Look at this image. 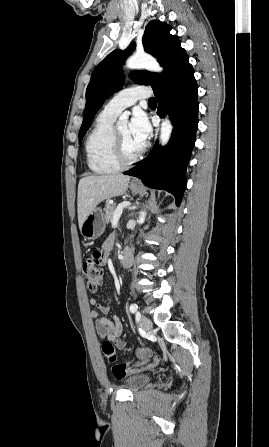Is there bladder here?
Instances as JSON below:
<instances>
[{
    "mask_svg": "<svg viewBox=\"0 0 269 447\" xmlns=\"http://www.w3.org/2000/svg\"><path fill=\"white\" fill-rule=\"evenodd\" d=\"M153 377L149 373H132L122 379V388L138 389L146 387L150 379Z\"/></svg>",
    "mask_w": 269,
    "mask_h": 447,
    "instance_id": "obj_1",
    "label": "bladder"
}]
</instances>
